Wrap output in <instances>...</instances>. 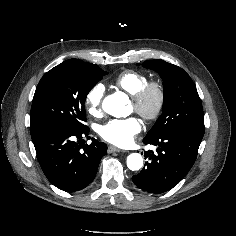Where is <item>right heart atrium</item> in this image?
Wrapping results in <instances>:
<instances>
[{"instance_id":"1","label":"right heart atrium","mask_w":236,"mask_h":236,"mask_svg":"<svg viewBox=\"0 0 236 236\" xmlns=\"http://www.w3.org/2000/svg\"><path fill=\"white\" fill-rule=\"evenodd\" d=\"M105 88L102 84L94 85L85 96V107L87 112L98 117L102 113V102L104 97Z\"/></svg>"}]
</instances>
